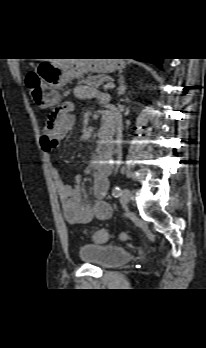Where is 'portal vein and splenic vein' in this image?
<instances>
[{
	"mask_svg": "<svg viewBox=\"0 0 206 348\" xmlns=\"http://www.w3.org/2000/svg\"><path fill=\"white\" fill-rule=\"evenodd\" d=\"M115 87V84L114 83H107L103 86V89L104 90H108V89H112Z\"/></svg>",
	"mask_w": 206,
	"mask_h": 348,
	"instance_id": "obj_1",
	"label": "portal vein and splenic vein"
}]
</instances>
